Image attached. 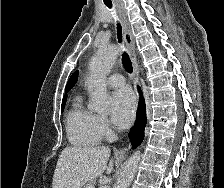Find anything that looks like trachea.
I'll return each instance as SVG.
<instances>
[{
    "label": "trachea",
    "instance_id": "3493384b",
    "mask_svg": "<svg viewBox=\"0 0 224 188\" xmlns=\"http://www.w3.org/2000/svg\"><path fill=\"white\" fill-rule=\"evenodd\" d=\"M105 5L109 8L112 7L111 3H105ZM117 36H118L119 43H122V28H121L120 23H117ZM122 63H123L125 70L128 73H132V71H133L132 64H131L130 58L126 52L123 53Z\"/></svg>",
    "mask_w": 224,
    "mask_h": 188
}]
</instances>
